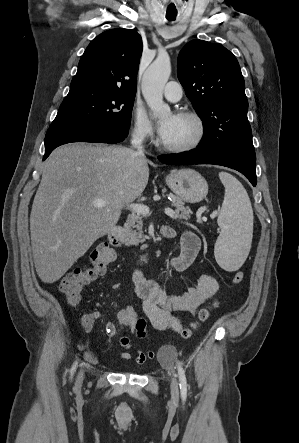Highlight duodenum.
Masks as SVG:
<instances>
[{"mask_svg": "<svg viewBox=\"0 0 299 443\" xmlns=\"http://www.w3.org/2000/svg\"><path fill=\"white\" fill-rule=\"evenodd\" d=\"M108 240L114 247H121L123 245L121 239V233L118 226H112L108 231ZM148 257V254L144 252L142 259L145 261Z\"/></svg>", "mask_w": 299, "mask_h": 443, "instance_id": "1", "label": "duodenum"}]
</instances>
